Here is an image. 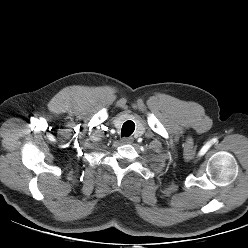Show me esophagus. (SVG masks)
<instances>
[{
    "instance_id": "1",
    "label": "esophagus",
    "mask_w": 248,
    "mask_h": 248,
    "mask_svg": "<svg viewBox=\"0 0 248 248\" xmlns=\"http://www.w3.org/2000/svg\"><path fill=\"white\" fill-rule=\"evenodd\" d=\"M122 143L124 144H130L133 142V138L132 137H125V138H122Z\"/></svg>"
}]
</instances>
